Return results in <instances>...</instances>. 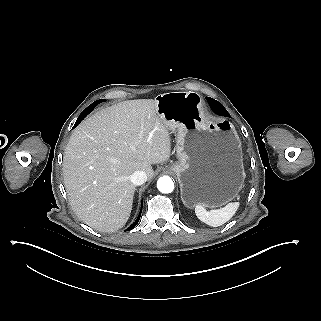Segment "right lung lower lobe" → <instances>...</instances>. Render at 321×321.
<instances>
[{"label": "right lung lower lobe", "mask_w": 321, "mask_h": 321, "mask_svg": "<svg viewBox=\"0 0 321 321\" xmlns=\"http://www.w3.org/2000/svg\"><path fill=\"white\" fill-rule=\"evenodd\" d=\"M103 101H105V100H97V101L93 102L91 105H89V106L80 114V116L78 117V119H77L74 127L77 126V125L94 109V107H95L96 105H98L100 102H103ZM140 215H141V212H140V214H139V217H140ZM139 217H138V218L135 220V222L127 229V231L133 229V228L137 225V223H138V221H139Z\"/></svg>", "instance_id": "98d812e1"}]
</instances>
